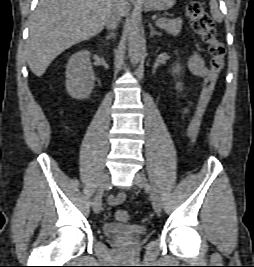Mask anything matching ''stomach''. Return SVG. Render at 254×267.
I'll return each instance as SVG.
<instances>
[{"label":"stomach","mask_w":254,"mask_h":267,"mask_svg":"<svg viewBox=\"0 0 254 267\" xmlns=\"http://www.w3.org/2000/svg\"><path fill=\"white\" fill-rule=\"evenodd\" d=\"M176 0H142L141 6L146 11H166L172 8Z\"/></svg>","instance_id":"stomach-1"}]
</instances>
